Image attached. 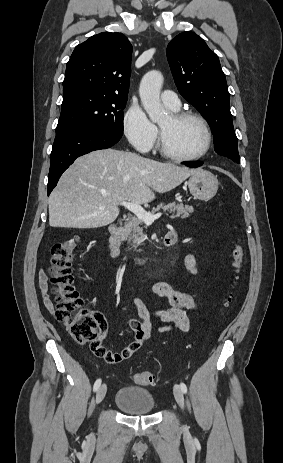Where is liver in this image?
<instances>
[{
  "mask_svg": "<svg viewBox=\"0 0 283 463\" xmlns=\"http://www.w3.org/2000/svg\"><path fill=\"white\" fill-rule=\"evenodd\" d=\"M199 169L162 163L136 153L104 149L79 157L63 173L49 197V225L98 228L119 215L123 201L145 204Z\"/></svg>",
  "mask_w": 283,
  "mask_h": 463,
  "instance_id": "liver-1",
  "label": "liver"
}]
</instances>
